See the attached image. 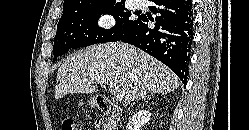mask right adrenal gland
Here are the masks:
<instances>
[{"label": "right adrenal gland", "instance_id": "1", "mask_svg": "<svg viewBox=\"0 0 249 130\" xmlns=\"http://www.w3.org/2000/svg\"><path fill=\"white\" fill-rule=\"evenodd\" d=\"M142 99H143V100H145V99H146V97H143ZM147 99H151V95H148V96H147ZM136 102H138V100H136ZM134 104H135V102H133V104H132V105H134Z\"/></svg>", "mask_w": 249, "mask_h": 130}]
</instances>
